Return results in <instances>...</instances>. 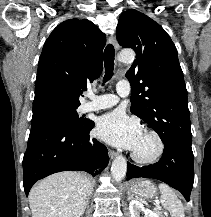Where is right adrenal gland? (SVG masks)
Returning <instances> with one entry per match:
<instances>
[{"label": "right adrenal gland", "instance_id": "right-adrenal-gland-1", "mask_svg": "<svg viewBox=\"0 0 211 217\" xmlns=\"http://www.w3.org/2000/svg\"><path fill=\"white\" fill-rule=\"evenodd\" d=\"M92 191H93V189L91 190V192H90L89 196L92 194ZM87 202H88V201H87Z\"/></svg>", "mask_w": 211, "mask_h": 217}]
</instances>
